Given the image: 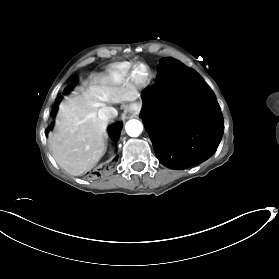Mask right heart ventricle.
Masks as SVG:
<instances>
[{"mask_svg": "<svg viewBox=\"0 0 279 279\" xmlns=\"http://www.w3.org/2000/svg\"><path fill=\"white\" fill-rule=\"evenodd\" d=\"M131 68V63L121 62L112 66V72L118 75H125L129 72Z\"/></svg>", "mask_w": 279, "mask_h": 279, "instance_id": "e07e8e85", "label": "right heart ventricle"}]
</instances>
